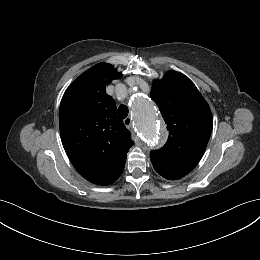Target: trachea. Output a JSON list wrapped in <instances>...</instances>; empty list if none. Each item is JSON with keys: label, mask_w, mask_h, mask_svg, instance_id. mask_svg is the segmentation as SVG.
<instances>
[{"label": "trachea", "mask_w": 260, "mask_h": 260, "mask_svg": "<svg viewBox=\"0 0 260 260\" xmlns=\"http://www.w3.org/2000/svg\"><path fill=\"white\" fill-rule=\"evenodd\" d=\"M128 108L125 105H120L118 108V115L120 118L125 119L128 116Z\"/></svg>", "instance_id": "obj_1"}]
</instances>
